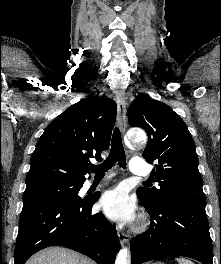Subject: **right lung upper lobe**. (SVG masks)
Instances as JSON below:
<instances>
[{"label":"right lung upper lobe","mask_w":221,"mask_h":264,"mask_svg":"<svg viewBox=\"0 0 221 264\" xmlns=\"http://www.w3.org/2000/svg\"><path fill=\"white\" fill-rule=\"evenodd\" d=\"M117 106L97 96L80 100L45 129L31 156L26 189L54 182L84 183L89 159L109 147Z\"/></svg>","instance_id":"obj_1"}]
</instances>
